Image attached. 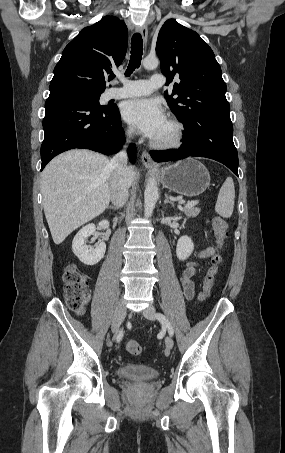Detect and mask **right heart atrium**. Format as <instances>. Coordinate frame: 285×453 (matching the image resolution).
<instances>
[{
    "instance_id": "d8ad5b80",
    "label": "right heart atrium",
    "mask_w": 285,
    "mask_h": 453,
    "mask_svg": "<svg viewBox=\"0 0 285 453\" xmlns=\"http://www.w3.org/2000/svg\"><path fill=\"white\" fill-rule=\"evenodd\" d=\"M126 135H127V137H129V138L132 137V135H133V130H132L131 128H128V129L126 130Z\"/></svg>"
}]
</instances>
